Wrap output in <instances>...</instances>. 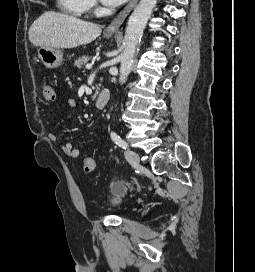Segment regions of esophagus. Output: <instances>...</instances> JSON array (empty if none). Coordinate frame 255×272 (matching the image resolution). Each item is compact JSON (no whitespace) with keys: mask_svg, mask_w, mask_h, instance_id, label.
Returning <instances> with one entry per match:
<instances>
[{"mask_svg":"<svg viewBox=\"0 0 255 272\" xmlns=\"http://www.w3.org/2000/svg\"><path fill=\"white\" fill-rule=\"evenodd\" d=\"M138 0H130V2L126 5V7L117 15V17L110 23V25L106 28V32L113 33L117 32L119 27L122 25L126 17L132 11V9L137 4Z\"/></svg>","mask_w":255,"mask_h":272,"instance_id":"1","label":"esophagus"}]
</instances>
